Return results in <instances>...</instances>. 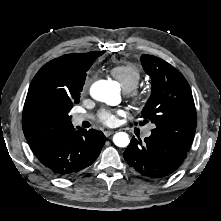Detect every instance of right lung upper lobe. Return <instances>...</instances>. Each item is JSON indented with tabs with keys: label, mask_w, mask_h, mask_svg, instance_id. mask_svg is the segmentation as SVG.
<instances>
[{
	"label": "right lung upper lobe",
	"mask_w": 221,
	"mask_h": 221,
	"mask_svg": "<svg viewBox=\"0 0 221 221\" xmlns=\"http://www.w3.org/2000/svg\"><path fill=\"white\" fill-rule=\"evenodd\" d=\"M104 51L71 53L51 60L33 78L22 127L34 154L73 127L67 107L78 103L86 72Z\"/></svg>",
	"instance_id": "1"
}]
</instances>
